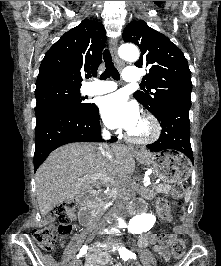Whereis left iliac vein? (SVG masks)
Returning a JSON list of instances; mask_svg holds the SVG:
<instances>
[{"label": "left iliac vein", "mask_w": 221, "mask_h": 266, "mask_svg": "<svg viewBox=\"0 0 221 266\" xmlns=\"http://www.w3.org/2000/svg\"><path fill=\"white\" fill-rule=\"evenodd\" d=\"M136 266H141L139 263H136Z\"/></svg>", "instance_id": "4c4485c4"}]
</instances>
